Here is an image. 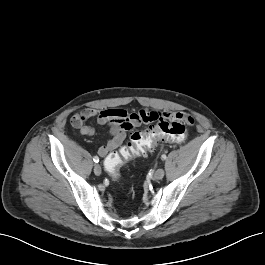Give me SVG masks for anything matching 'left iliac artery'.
I'll return each mask as SVG.
<instances>
[{
	"mask_svg": "<svg viewBox=\"0 0 265 265\" xmlns=\"http://www.w3.org/2000/svg\"><path fill=\"white\" fill-rule=\"evenodd\" d=\"M161 159H162V160H165V159H166V155L163 154V155L161 156Z\"/></svg>",
	"mask_w": 265,
	"mask_h": 265,
	"instance_id": "44dca946",
	"label": "left iliac artery"
}]
</instances>
